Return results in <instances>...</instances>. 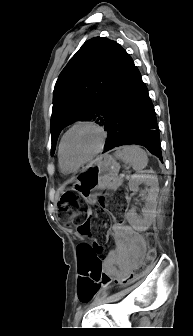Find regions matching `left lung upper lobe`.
Listing matches in <instances>:
<instances>
[{
  "label": "left lung upper lobe",
  "instance_id": "1",
  "mask_svg": "<svg viewBox=\"0 0 193 336\" xmlns=\"http://www.w3.org/2000/svg\"><path fill=\"white\" fill-rule=\"evenodd\" d=\"M128 54L114 41L85 42L60 73L54 88L51 153L61 130L72 122L93 120L104 126Z\"/></svg>",
  "mask_w": 193,
  "mask_h": 336
}]
</instances>
